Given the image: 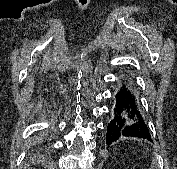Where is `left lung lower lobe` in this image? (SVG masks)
Returning a JSON list of instances; mask_svg holds the SVG:
<instances>
[{"label": "left lung lower lobe", "mask_w": 177, "mask_h": 169, "mask_svg": "<svg viewBox=\"0 0 177 169\" xmlns=\"http://www.w3.org/2000/svg\"><path fill=\"white\" fill-rule=\"evenodd\" d=\"M138 137L151 141L148 126L143 119L134 84L130 76H123L116 94L113 119L107 127L106 143L110 145L119 137Z\"/></svg>", "instance_id": "1"}]
</instances>
